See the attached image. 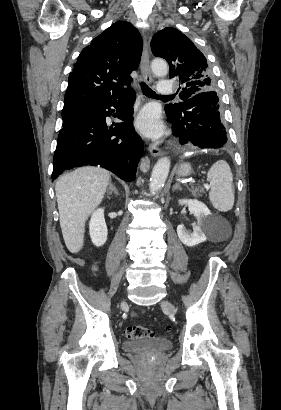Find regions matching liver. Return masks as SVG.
Returning a JSON list of instances; mask_svg holds the SVG:
<instances>
[{
  "label": "liver",
  "instance_id": "1",
  "mask_svg": "<svg viewBox=\"0 0 281 410\" xmlns=\"http://www.w3.org/2000/svg\"><path fill=\"white\" fill-rule=\"evenodd\" d=\"M109 183L110 173L92 166L78 168L56 182L60 226L71 253H78L82 249L85 222L102 202Z\"/></svg>",
  "mask_w": 281,
  "mask_h": 410
}]
</instances>
